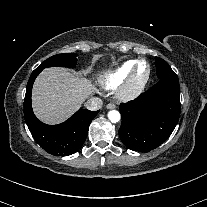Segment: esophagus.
Returning <instances> with one entry per match:
<instances>
[{
    "mask_svg": "<svg viewBox=\"0 0 207 207\" xmlns=\"http://www.w3.org/2000/svg\"><path fill=\"white\" fill-rule=\"evenodd\" d=\"M106 107H107V109H115L116 105L113 103H109Z\"/></svg>",
    "mask_w": 207,
    "mask_h": 207,
    "instance_id": "1",
    "label": "esophagus"
}]
</instances>
